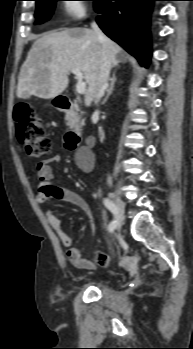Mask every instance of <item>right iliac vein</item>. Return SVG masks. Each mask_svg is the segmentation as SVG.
Masks as SVG:
<instances>
[{
	"instance_id": "63e3f726",
	"label": "right iliac vein",
	"mask_w": 193,
	"mask_h": 349,
	"mask_svg": "<svg viewBox=\"0 0 193 349\" xmlns=\"http://www.w3.org/2000/svg\"><path fill=\"white\" fill-rule=\"evenodd\" d=\"M112 197L114 198V203H115V207H116V213L115 215L116 217V221H117V230L120 231L121 226H122V222H123V217H124V202L121 200V198L116 195V194H112Z\"/></svg>"
}]
</instances>
